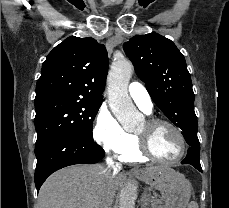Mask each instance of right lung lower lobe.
<instances>
[{"label": "right lung lower lobe", "mask_w": 229, "mask_h": 208, "mask_svg": "<svg viewBox=\"0 0 229 208\" xmlns=\"http://www.w3.org/2000/svg\"><path fill=\"white\" fill-rule=\"evenodd\" d=\"M35 155V185L38 192L53 172L73 164L97 163L104 157L105 152L93 139L77 133L64 132L35 147Z\"/></svg>", "instance_id": "obj_1"}]
</instances>
